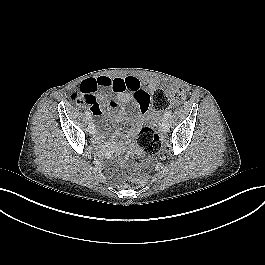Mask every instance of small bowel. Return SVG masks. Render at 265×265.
I'll list each match as a JSON object with an SVG mask.
<instances>
[{"instance_id":"obj_1","label":"small bowel","mask_w":265,"mask_h":265,"mask_svg":"<svg viewBox=\"0 0 265 265\" xmlns=\"http://www.w3.org/2000/svg\"><path fill=\"white\" fill-rule=\"evenodd\" d=\"M154 87V82L142 83L135 76L122 78L100 76L84 82L72 92L71 96L75 98L78 105L88 106L94 116L102 114L101 103L103 102H108L112 107H120L125 103L132 102L139 111L138 114L134 118H127L126 111L121 109L118 119L140 125L144 120L146 111L151 106L152 100L149 91ZM109 91L114 92L116 97L111 98ZM95 139L98 143L103 141L102 135L98 133Z\"/></svg>"}]
</instances>
